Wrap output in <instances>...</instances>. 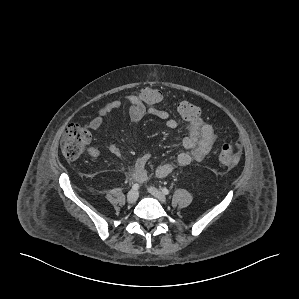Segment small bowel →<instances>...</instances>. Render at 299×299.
Wrapping results in <instances>:
<instances>
[{
	"instance_id": "obj_1",
	"label": "small bowel",
	"mask_w": 299,
	"mask_h": 299,
	"mask_svg": "<svg viewBox=\"0 0 299 299\" xmlns=\"http://www.w3.org/2000/svg\"><path fill=\"white\" fill-rule=\"evenodd\" d=\"M124 104L128 105L129 117L133 122H138L145 116L152 115L163 120L170 129H177L180 125L168 111L160 108L150 109L145 106L139 93H132L125 95L122 100H113L104 104L99 109L98 114L91 120L89 127L92 130L99 129L104 123L105 117L114 110L121 108ZM178 139L185 150L177 156L176 161L159 165L155 171L157 177H166L178 167H186L201 162L211 151L216 134L213 127L199 117L187 124V133L179 136ZM107 149L113 155H120V149L115 144H110ZM150 158L151 155L146 153L136 159L133 170V178L136 181L140 183L147 181L146 166Z\"/></svg>"
}]
</instances>
